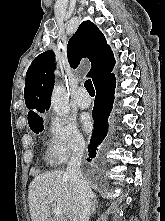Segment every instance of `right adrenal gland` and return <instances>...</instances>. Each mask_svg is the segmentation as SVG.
<instances>
[{
  "mask_svg": "<svg viewBox=\"0 0 165 221\" xmlns=\"http://www.w3.org/2000/svg\"><path fill=\"white\" fill-rule=\"evenodd\" d=\"M97 207H98V201L97 198L94 197L92 201L91 216L95 213Z\"/></svg>",
  "mask_w": 165,
  "mask_h": 221,
  "instance_id": "2a0ac1e0",
  "label": "right adrenal gland"
}]
</instances>
